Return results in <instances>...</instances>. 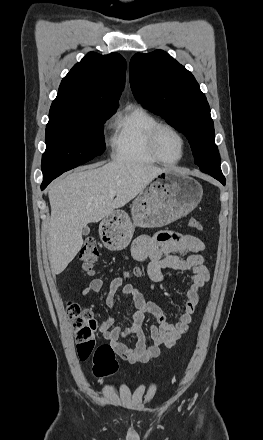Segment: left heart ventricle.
Listing matches in <instances>:
<instances>
[{"instance_id":"1","label":"left heart ventricle","mask_w":263,"mask_h":440,"mask_svg":"<svg viewBox=\"0 0 263 440\" xmlns=\"http://www.w3.org/2000/svg\"><path fill=\"white\" fill-rule=\"evenodd\" d=\"M157 149L162 158L174 161L181 156V140L171 130L163 129L158 135Z\"/></svg>"}]
</instances>
